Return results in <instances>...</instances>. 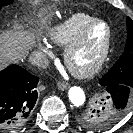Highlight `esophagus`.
Segmentation results:
<instances>
[{
	"instance_id": "1",
	"label": "esophagus",
	"mask_w": 133,
	"mask_h": 133,
	"mask_svg": "<svg viewBox=\"0 0 133 133\" xmlns=\"http://www.w3.org/2000/svg\"><path fill=\"white\" fill-rule=\"evenodd\" d=\"M57 86L60 90L64 91L67 90L70 85L67 82H58Z\"/></svg>"
}]
</instances>
